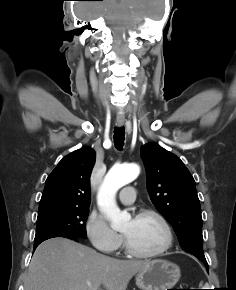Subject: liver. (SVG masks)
Returning a JSON list of instances; mask_svg holds the SVG:
<instances>
[{"mask_svg":"<svg viewBox=\"0 0 236 290\" xmlns=\"http://www.w3.org/2000/svg\"><path fill=\"white\" fill-rule=\"evenodd\" d=\"M149 261L111 258L75 241L56 237L34 252L25 290H126Z\"/></svg>","mask_w":236,"mask_h":290,"instance_id":"liver-1","label":"liver"}]
</instances>
